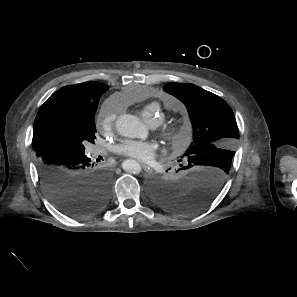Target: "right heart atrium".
<instances>
[{"label":"right heart atrium","mask_w":297,"mask_h":297,"mask_svg":"<svg viewBox=\"0 0 297 297\" xmlns=\"http://www.w3.org/2000/svg\"><path fill=\"white\" fill-rule=\"evenodd\" d=\"M117 113L118 107L115 100L108 99L103 103L99 114V125L103 131L108 132L112 129Z\"/></svg>","instance_id":"obj_1"}]
</instances>
